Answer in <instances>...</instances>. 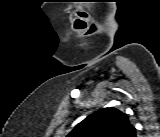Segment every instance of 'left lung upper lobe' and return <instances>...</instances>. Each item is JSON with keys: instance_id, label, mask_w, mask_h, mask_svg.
<instances>
[{"instance_id": "left-lung-upper-lobe-1", "label": "left lung upper lobe", "mask_w": 160, "mask_h": 137, "mask_svg": "<svg viewBox=\"0 0 160 137\" xmlns=\"http://www.w3.org/2000/svg\"><path fill=\"white\" fill-rule=\"evenodd\" d=\"M128 116L116 108H103L87 116L67 137H135Z\"/></svg>"}]
</instances>
